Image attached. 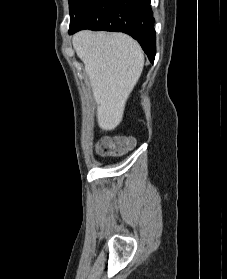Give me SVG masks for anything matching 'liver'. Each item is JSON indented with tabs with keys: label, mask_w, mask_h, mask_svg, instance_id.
<instances>
[{
	"label": "liver",
	"mask_w": 227,
	"mask_h": 279,
	"mask_svg": "<svg viewBox=\"0 0 227 279\" xmlns=\"http://www.w3.org/2000/svg\"><path fill=\"white\" fill-rule=\"evenodd\" d=\"M72 43L90 80L98 125L113 130L121 123L127 99L143 71L144 53L123 33L85 30L76 33Z\"/></svg>",
	"instance_id": "obj_1"
}]
</instances>
